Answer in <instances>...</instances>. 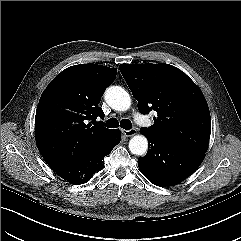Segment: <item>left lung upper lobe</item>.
I'll use <instances>...</instances> for the list:
<instances>
[{
	"instance_id": "5c2ea615",
	"label": "left lung upper lobe",
	"mask_w": 241,
	"mask_h": 241,
	"mask_svg": "<svg viewBox=\"0 0 241 241\" xmlns=\"http://www.w3.org/2000/svg\"><path fill=\"white\" fill-rule=\"evenodd\" d=\"M120 72L141 113L157 112L154 124L141 133L164 142L206 152L211 120L206 99L180 69L164 64H121Z\"/></svg>"
}]
</instances>
